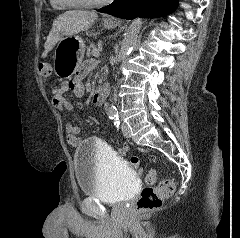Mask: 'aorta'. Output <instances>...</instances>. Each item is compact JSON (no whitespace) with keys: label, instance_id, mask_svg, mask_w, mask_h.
Listing matches in <instances>:
<instances>
[{"label":"aorta","instance_id":"obj_1","mask_svg":"<svg viewBox=\"0 0 240 238\" xmlns=\"http://www.w3.org/2000/svg\"><path fill=\"white\" fill-rule=\"evenodd\" d=\"M141 26L142 19L136 18L132 21L131 25L128 27L123 38V41L121 43L120 51L116 57V60L118 62L124 60L132 51L136 43L137 37L139 35V32L141 30ZM116 113H117L116 107L114 105H110L108 107V114L116 115Z\"/></svg>","mask_w":240,"mask_h":238}]
</instances>
